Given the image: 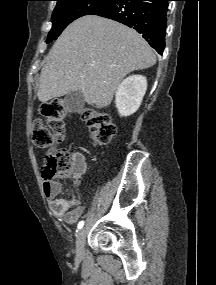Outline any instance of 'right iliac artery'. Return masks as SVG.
Segmentation results:
<instances>
[{
    "instance_id": "right-iliac-artery-1",
    "label": "right iliac artery",
    "mask_w": 216,
    "mask_h": 285,
    "mask_svg": "<svg viewBox=\"0 0 216 285\" xmlns=\"http://www.w3.org/2000/svg\"><path fill=\"white\" fill-rule=\"evenodd\" d=\"M83 225H84V221H80L78 223V229H81L83 227Z\"/></svg>"
}]
</instances>
